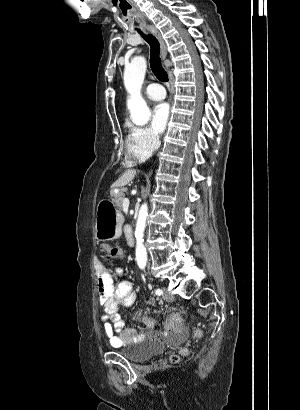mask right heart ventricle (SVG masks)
Masks as SVG:
<instances>
[{
    "instance_id": "obj_1",
    "label": "right heart ventricle",
    "mask_w": 300,
    "mask_h": 410,
    "mask_svg": "<svg viewBox=\"0 0 300 410\" xmlns=\"http://www.w3.org/2000/svg\"><path fill=\"white\" fill-rule=\"evenodd\" d=\"M126 144H127V149H128V155L126 157V161L127 163H132L134 159H138V158L134 157L129 149V138L126 140Z\"/></svg>"
}]
</instances>
